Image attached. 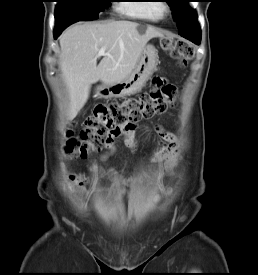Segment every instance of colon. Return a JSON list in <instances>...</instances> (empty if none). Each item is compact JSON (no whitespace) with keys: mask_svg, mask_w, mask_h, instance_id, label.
<instances>
[{"mask_svg":"<svg viewBox=\"0 0 258 275\" xmlns=\"http://www.w3.org/2000/svg\"><path fill=\"white\" fill-rule=\"evenodd\" d=\"M160 45L181 64H186L194 56V49L188 43L174 37L165 36ZM154 88L138 97L120 103L98 105L93 114L84 122V128L76 135L67 133L66 153L70 156L86 157L89 151L100 150L105 143L122 132L136 128L141 119L163 114L175 104L176 89L162 79L153 80ZM75 185L84 183L82 176H72Z\"/></svg>","mask_w":258,"mask_h":275,"instance_id":"5ec220e1","label":"colon"}]
</instances>
